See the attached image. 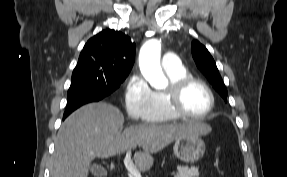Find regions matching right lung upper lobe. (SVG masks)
<instances>
[{"label":"right lung upper lobe","mask_w":287,"mask_h":177,"mask_svg":"<svg viewBox=\"0 0 287 177\" xmlns=\"http://www.w3.org/2000/svg\"><path fill=\"white\" fill-rule=\"evenodd\" d=\"M136 45L120 31L103 30L85 44L76 67L94 69L111 76L128 75Z\"/></svg>","instance_id":"1"}]
</instances>
